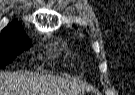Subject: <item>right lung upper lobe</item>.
I'll return each mask as SVG.
<instances>
[{"instance_id":"obj_1","label":"right lung upper lobe","mask_w":135,"mask_h":95,"mask_svg":"<svg viewBox=\"0 0 135 95\" xmlns=\"http://www.w3.org/2000/svg\"><path fill=\"white\" fill-rule=\"evenodd\" d=\"M13 33H23L20 27L16 23H10L5 27L0 35V37L7 36Z\"/></svg>"}]
</instances>
